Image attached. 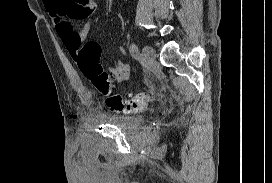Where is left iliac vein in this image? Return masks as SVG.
Instances as JSON below:
<instances>
[{
    "label": "left iliac vein",
    "instance_id": "left-iliac-vein-1",
    "mask_svg": "<svg viewBox=\"0 0 272 183\" xmlns=\"http://www.w3.org/2000/svg\"><path fill=\"white\" fill-rule=\"evenodd\" d=\"M156 60V52L149 46H144L142 49V63L148 67L153 68Z\"/></svg>",
    "mask_w": 272,
    "mask_h": 183
}]
</instances>
